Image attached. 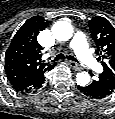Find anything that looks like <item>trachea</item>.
I'll return each mask as SVG.
<instances>
[{
    "label": "trachea",
    "mask_w": 115,
    "mask_h": 119,
    "mask_svg": "<svg viewBox=\"0 0 115 119\" xmlns=\"http://www.w3.org/2000/svg\"><path fill=\"white\" fill-rule=\"evenodd\" d=\"M64 58H65V55L62 54V53H60V54H58V55L52 60V62H55V61H58V60H62V59H64ZM66 58H67L68 60H71V61H74V62H78V60H77L76 58H74L73 56H71V55L66 56ZM78 63H79V62H78Z\"/></svg>",
    "instance_id": "obj_1"
}]
</instances>
